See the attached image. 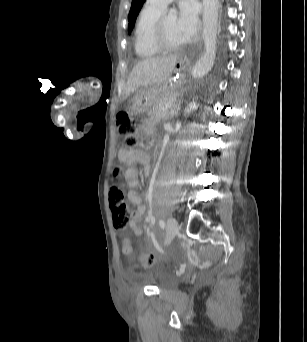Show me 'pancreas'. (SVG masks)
Masks as SVG:
<instances>
[{
    "label": "pancreas",
    "mask_w": 307,
    "mask_h": 342,
    "mask_svg": "<svg viewBox=\"0 0 307 342\" xmlns=\"http://www.w3.org/2000/svg\"><path fill=\"white\" fill-rule=\"evenodd\" d=\"M155 98L160 106H157V108H153V110H150V112H148V116H154V118H157V120H162V118H166V116H169V112L163 109L164 104H171V102L176 97L173 94H157Z\"/></svg>",
    "instance_id": "1"
}]
</instances>
